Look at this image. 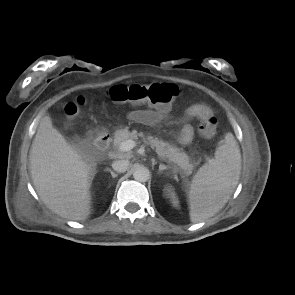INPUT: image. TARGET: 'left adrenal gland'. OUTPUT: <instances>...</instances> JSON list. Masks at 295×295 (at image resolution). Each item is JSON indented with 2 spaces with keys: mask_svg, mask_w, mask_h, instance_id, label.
Returning a JSON list of instances; mask_svg holds the SVG:
<instances>
[{
  "mask_svg": "<svg viewBox=\"0 0 295 295\" xmlns=\"http://www.w3.org/2000/svg\"><path fill=\"white\" fill-rule=\"evenodd\" d=\"M172 168L170 166H166L164 164L159 165L158 173H163L164 171L171 170Z\"/></svg>",
  "mask_w": 295,
  "mask_h": 295,
  "instance_id": "obj_1",
  "label": "left adrenal gland"
}]
</instances>
